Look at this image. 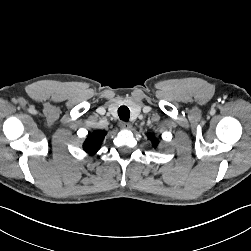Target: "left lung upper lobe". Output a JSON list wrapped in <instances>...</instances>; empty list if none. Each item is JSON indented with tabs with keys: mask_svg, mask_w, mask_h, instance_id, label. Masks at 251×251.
<instances>
[{
	"mask_svg": "<svg viewBox=\"0 0 251 251\" xmlns=\"http://www.w3.org/2000/svg\"><path fill=\"white\" fill-rule=\"evenodd\" d=\"M148 138L152 141L154 147L157 146V140L152 134H148Z\"/></svg>",
	"mask_w": 251,
	"mask_h": 251,
	"instance_id": "left-lung-upper-lobe-1",
	"label": "left lung upper lobe"
}]
</instances>
